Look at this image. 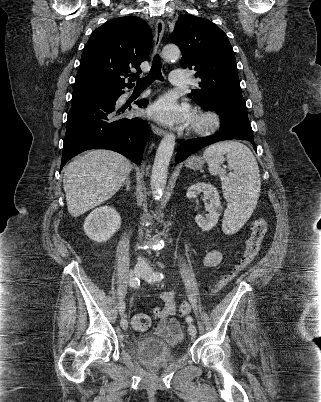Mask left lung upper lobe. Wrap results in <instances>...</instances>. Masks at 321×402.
Here are the masks:
<instances>
[{
  "label": "left lung upper lobe",
  "instance_id": "1",
  "mask_svg": "<svg viewBox=\"0 0 321 402\" xmlns=\"http://www.w3.org/2000/svg\"><path fill=\"white\" fill-rule=\"evenodd\" d=\"M171 40L181 52L183 68L197 71L201 82L188 96L203 109L224 100L243 99L235 54L226 34L213 22L185 15L175 24Z\"/></svg>",
  "mask_w": 321,
  "mask_h": 402
}]
</instances>
